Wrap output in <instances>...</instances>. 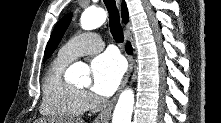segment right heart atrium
I'll use <instances>...</instances> for the list:
<instances>
[{
  "label": "right heart atrium",
  "instance_id": "1",
  "mask_svg": "<svg viewBox=\"0 0 221 123\" xmlns=\"http://www.w3.org/2000/svg\"><path fill=\"white\" fill-rule=\"evenodd\" d=\"M83 96H84V100H85L87 108H91L95 105L96 99L94 98L93 95L85 92L83 93Z\"/></svg>",
  "mask_w": 221,
  "mask_h": 123
}]
</instances>
